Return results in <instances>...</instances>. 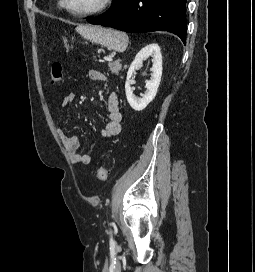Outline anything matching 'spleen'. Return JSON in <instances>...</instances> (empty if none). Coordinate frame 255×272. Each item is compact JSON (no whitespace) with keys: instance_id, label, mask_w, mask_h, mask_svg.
Instances as JSON below:
<instances>
[{"instance_id":"obj_1","label":"spleen","mask_w":255,"mask_h":272,"mask_svg":"<svg viewBox=\"0 0 255 272\" xmlns=\"http://www.w3.org/2000/svg\"><path fill=\"white\" fill-rule=\"evenodd\" d=\"M76 31L85 39L118 52L125 51L129 41L126 33L99 26H79Z\"/></svg>"}]
</instances>
